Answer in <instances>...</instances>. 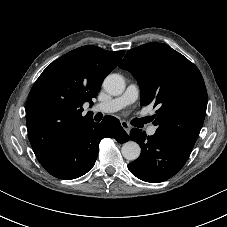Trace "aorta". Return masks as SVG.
<instances>
[{"label": "aorta", "mask_w": 227, "mask_h": 227, "mask_svg": "<svg viewBox=\"0 0 227 227\" xmlns=\"http://www.w3.org/2000/svg\"><path fill=\"white\" fill-rule=\"evenodd\" d=\"M103 87L110 95L117 96L124 92L125 80L119 74H109L103 82ZM121 152L125 159L134 161L140 156L141 148L136 142L128 141L123 144Z\"/></svg>", "instance_id": "1"}]
</instances>
